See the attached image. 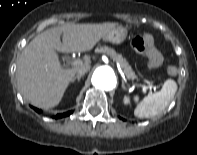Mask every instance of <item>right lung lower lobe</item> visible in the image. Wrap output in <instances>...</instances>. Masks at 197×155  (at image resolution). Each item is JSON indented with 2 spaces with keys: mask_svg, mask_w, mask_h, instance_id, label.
Returning <instances> with one entry per match:
<instances>
[{
  "mask_svg": "<svg viewBox=\"0 0 197 155\" xmlns=\"http://www.w3.org/2000/svg\"><path fill=\"white\" fill-rule=\"evenodd\" d=\"M34 109H35V111H37L38 113H40V110L39 109H37V108H34ZM71 113H72V111H69V112H66V113H63V114H59V115L56 116V118H62V117H65V116L70 115Z\"/></svg>",
  "mask_w": 197,
  "mask_h": 155,
  "instance_id": "98d812e1",
  "label": "right lung lower lobe"
}]
</instances>
